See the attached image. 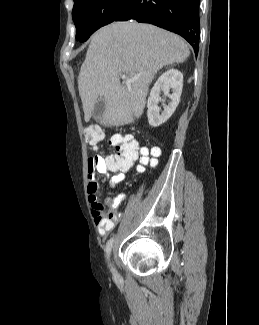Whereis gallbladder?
Returning a JSON list of instances; mask_svg holds the SVG:
<instances>
[{
    "mask_svg": "<svg viewBox=\"0 0 259 325\" xmlns=\"http://www.w3.org/2000/svg\"><path fill=\"white\" fill-rule=\"evenodd\" d=\"M105 110V102L102 99H98L94 105L92 115L95 119L99 120Z\"/></svg>",
    "mask_w": 259,
    "mask_h": 325,
    "instance_id": "1",
    "label": "gallbladder"
}]
</instances>
